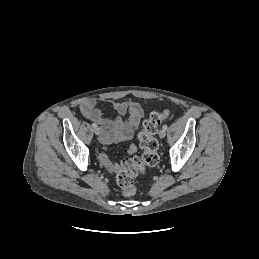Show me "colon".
<instances>
[{"instance_id":"colon-1","label":"colon","mask_w":259,"mask_h":259,"mask_svg":"<svg viewBox=\"0 0 259 259\" xmlns=\"http://www.w3.org/2000/svg\"><path fill=\"white\" fill-rule=\"evenodd\" d=\"M169 111H153L143 122L142 131L138 135L143 152L140 157L127 158L116 170V181L124 196H132L136 192L135 179L148 167L159 163L158 141L155 137L160 124L169 119Z\"/></svg>"}]
</instances>
